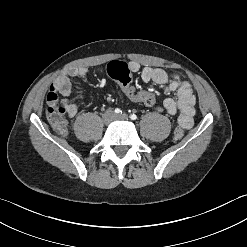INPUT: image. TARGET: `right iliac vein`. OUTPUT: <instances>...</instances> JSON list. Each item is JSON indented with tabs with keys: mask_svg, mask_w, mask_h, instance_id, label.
<instances>
[{
	"mask_svg": "<svg viewBox=\"0 0 247 247\" xmlns=\"http://www.w3.org/2000/svg\"><path fill=\"white\" fill-rule=\"evenodd\" d=\"M114 119V113L111 110H108L103 115V120L106 124H109Z\"/></svg>",
	"mask_w": 247,
	"mask_h": 247,
	"instance_id": "right-iliac-vein-1",
	"label": "right iliac vein"
}]
</instances>
